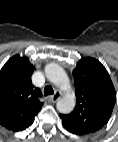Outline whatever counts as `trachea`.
Segmentation results:
<instances>
[{
    "mask_svg": "<svg viewBox=\"0 0 118 142\" xmlns=\"http://www.w3.org/2000/svg\"><path fill=\"white\" fill-rule=\"evenodd\" d=\"M54 94V90L51 86H46L44 88V95L47 96V95H52Z\"/></svg>",
    "mask_w": 118,
    "mask_h": 142,
    "instance_id": "1",
    "label": "trachea"
}]
</instances>
